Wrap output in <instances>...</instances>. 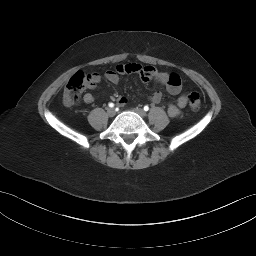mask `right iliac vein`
I'll return each mask as SVG.
<instances>
[{"label":"right iliac vein","mask_w":256,"mask_h":256,"mask_svg":"<svg viewBox=\"0 0 256 256\" xmlns=\"http://www.w3.org/2000/svg\"><path fill=\"white\" fill-rule=\"evenodd\" d=\"M107 114L109 117H114L115 116V110L112 108L107 109Z\"/></svg>","instance_id":"1"}]
</instances>
